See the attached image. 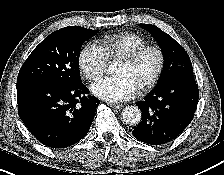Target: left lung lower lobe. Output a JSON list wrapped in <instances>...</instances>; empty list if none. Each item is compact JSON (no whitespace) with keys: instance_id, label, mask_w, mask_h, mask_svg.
Masks as SVG:
<instances>
[{"instance_id":"left-lung-lower-lobe-1","label":"left lung lower lobe","mask_w":224,"mask_h":175,"mask_svg":"<svg viewBox=\"0 0 224 175\" xmlns=\"http://www.w3.org/2000/svg\"><path fill=\"white\" fill-rule=\"evenodd\" d=\"M198 86L193 74L175 76L158 84L136 105L143 117L133 136L150 145H162L179 136L194 117Z\"/></svg>"}]
</instances>
